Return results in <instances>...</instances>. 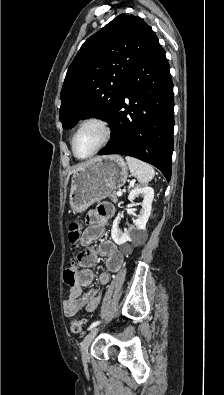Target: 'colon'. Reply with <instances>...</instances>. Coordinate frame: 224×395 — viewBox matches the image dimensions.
<instances>
[{"label": "colon", "instance_id": "obj_1", "mask_svg": "<svg viewBox=\"0 0 224 395\" xmlns=\"http://www.w3.org/2000/svg\"><path fill=\"white\" fill-rule=\"evenodd\" d=\"M80 227L77 223H73L69 226V233H68V239L69 242L73 245L76 246V243L79 240L80 237ZM76 267L74 265L66 268L63 273V279L66 285L72 286L75 283L76 280ZM84 326H85V321L83 319H73L70 322V331L74 334H82L84 331Z\"/></svg>", "mask_w": 224, "mask_h": 395}]
</instances>
